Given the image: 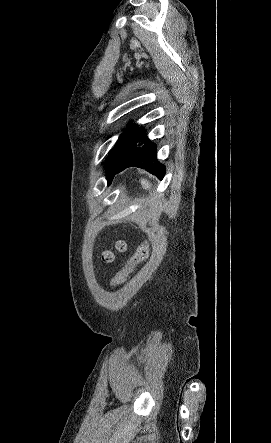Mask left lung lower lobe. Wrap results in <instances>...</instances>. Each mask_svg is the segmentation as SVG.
<instances>
[{
	"label": "left lung lower lobe",
	"mask_w": 271,
	"mask_h": 443,
	"mask_svg": "<svg viewBox=\"0 0 271 443\" xmlns=\"http://www.w3.org/2000/svg\"><path fill=\"white\" fill-rule=\"evenodd\" d=\"M132 166L146 169L159 179L165 175V167L156 158L155 144L145 136V130L137 128V125L124 133L110 172L109 184L115 174Z\"/></svg>",
	"instance_id": "obj_1"
}]
</instances>
